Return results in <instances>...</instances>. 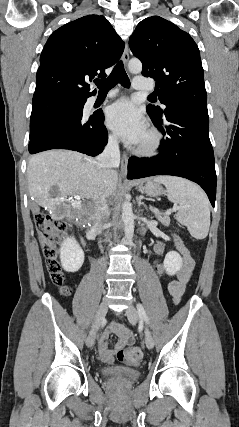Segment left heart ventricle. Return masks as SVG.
<instances>
[{
  "mask_svg": "<svg viewBox=\"0 0 239 427\" xmlns=\"http://www.w3.org/2000/svg\"><path fill=\"white\" fill-rule=\"evenodd\" d=\"M146 139H147V133L145 132L138 143H141V142L145 141Z\"/></svg>",
  "mask_w": 239,
  "mask_h": 427,
  "instance_id": "b2bd125f",
  "label": "left heart ventricle"
}]
</instances>
